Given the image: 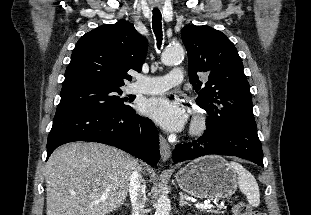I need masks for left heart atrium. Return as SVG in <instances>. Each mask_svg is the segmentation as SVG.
<instances>
[{"mask_svg":"<svg viewBox=\"0 0 311 215\" xmlns=\"http://www.w3.org/2000/svg\"><path fill=\"white\" fill-rule=\"evenodd\" d=\"M141 112L169 132H177L184 128L188 113L181 102L166 96H157L145 100Z\"/></svg>","mask_w":311,"mask_h":215,"instance_id":"39dd6f15","label":"left heart atrium"}]
</instances>
